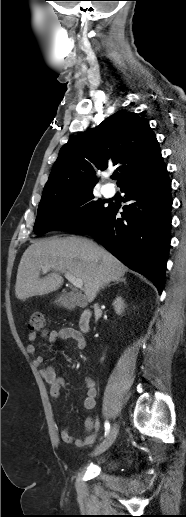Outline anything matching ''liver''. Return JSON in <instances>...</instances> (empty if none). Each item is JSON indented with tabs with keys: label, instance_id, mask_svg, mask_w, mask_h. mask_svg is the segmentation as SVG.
<instances>
[{
	"label": "liver",
	"instance_id": "6515ba94",
	"mask_svg": "<svg viewBox=\"0 0 186 517\" xmlns=\"http://www.w3.org/2000/svg\"><path fill=\"white\" fill-rule=\"evenodd\" d=\"M43 267H50L53 272L41 279ZM127 270L121 261L92 240L76 236L43 239L23 253L15 295L25 300L56 291L63 284L58 272H68L82 279L86 299L92 302L101 288L123 277Z\"/></svg>",
	"mask_w": 186,
	"mask_h": 517
}]
</instances>
